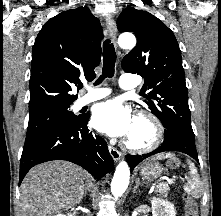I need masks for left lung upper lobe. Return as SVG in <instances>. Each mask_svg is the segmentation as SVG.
<instances>
[{
  "label": "left lung upper lobe",
  "mask_w": 221,
  "mask_h": 216,
  "mask_svg": "<svg viewBox=\"0 0 221 216\" xmlns=\"http://www.w3.org/2000/svg\"><path fill=\"white\" fill-rule=\"evenodd\" d=\"M117 27L137 36V45L123 58L122 68L145 78L143 90L149 93L142 102L163 123L164 137L178 134L195 139L181 51L173 32L154 15L133 7L120 14Z\"/></svg>",
  "instance_id": "left-lung-upper-lobe-1"
}]
</instances>
